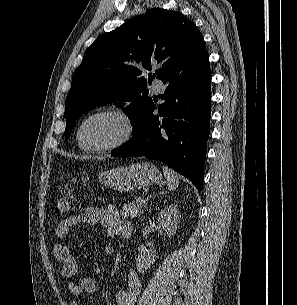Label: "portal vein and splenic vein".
<instances>
[{"instance_id":"18ae733b","label":"portal vein and splenic vein","mask_w":297,"mask_h":305,"mask_svg":"<svg viewBox=\"0 0 297 305\" xmlns=\"http://www.w3.org/2000/svg\"><path fill=\"white\" fill-rule=\"evenodd\" d=\"M138 202H139V203L144 202V199L139 198V201H138Z\"/></svg>"}]
</instances>
